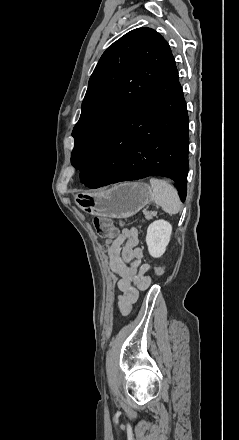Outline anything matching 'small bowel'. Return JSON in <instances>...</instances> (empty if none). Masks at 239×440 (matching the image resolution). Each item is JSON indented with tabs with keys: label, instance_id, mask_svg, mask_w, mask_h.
<instances>
[{
	"label": "small bowel",
	"instance_id": "c3829d8e",
	"mask_svg": "<svg viewBox=\"0 0 239 440\" xmlns=\"http://www.w3.org/2000/svg\"><path fill=\"white\" fill-rule=\"evenodd\" d=\"M139 235L135 227L123 229L108 248L109 267L118 277V311L127 315L139 296L151 282L150 266L143 264V251L138 246Z\"/></svg>",
	"mask_w": 239,
	"mask_h": 440
}]
</instances>
